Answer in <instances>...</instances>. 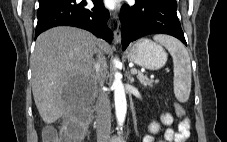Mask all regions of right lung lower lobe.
<instances>
[{"instance_id": "1", "label": "right lung lower lobe", "mask_w": 227, "mask_h": 142, "mask_svg": "<svg viewBox=\"0 0 227 142\" xmlns=\"http://www.w3.org/2000/svg\"><path fill=\"white\" fill-rule=\"evenodd\" d=\"M92 1V9L83 7L87 4L85 1L78 3L76 0H52L39 4L35 38L49 28L62 25L88 30L110 43L113 33L106 24L109 12L104 8L102 0Z\"/></svg>"}]
</instances>
